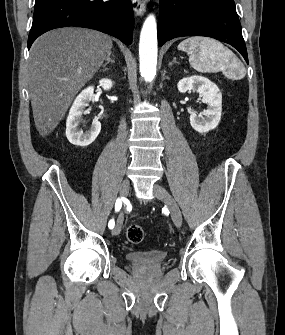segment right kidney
Returning a JSON list of instances; mask_svg holds the SVG:
<instances>
[{"label": "right kidney", "mask_w": 285, "mask_h": 335, "mask_svg": "<svg viewBox=\"0 0 285 335\" xmlns=\"http://www.w3.org/2000/svg\"><path fill=\"white\" fill-rule=\"evenodd\" d=\"M99 86H102L103 90H111V88H113V82L112 80H108V78H103V80H100ZM93 92V86H89L86 90H82L81 94L74 100L72 108H70L66 122V136L70 144H73V146L86 148V146H89V144H92V142L96 140L101 130V124L98 120L92 122L91 130L86 132V134L79 132L77 128L79 122L82 120V114H85L84 110L86 106H89L88 102L93 98Z\"/></svg>", "instance_id": "ca27d5eb"}]
</instances>
